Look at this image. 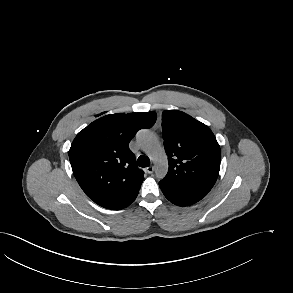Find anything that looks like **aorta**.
Returning <instances> with one entry per match:
<instances>
[{"instance_id": "762f6f07", "label": "aorta", "mask_w": 293, "mask_h": 293, "mask_svg": "<svg viewBox=\"0 0 293 293\" xmlns=\"http://www.w3.org/2000/svg\"><path fill=\"white\" fill-rule=\"evenodd\" d=\"M137 141L153 161L156 175L164 177L168 171L167 156L157 137L148 130H141L137 134Z\"/></svg>"}]
</instances>
